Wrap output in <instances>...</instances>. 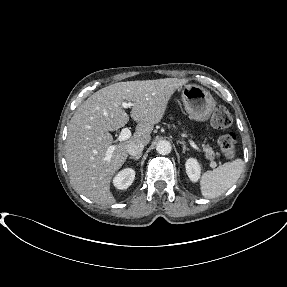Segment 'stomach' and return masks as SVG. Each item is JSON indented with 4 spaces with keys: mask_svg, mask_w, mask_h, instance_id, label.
Listing matches in <instances>:
<instances>
[{
    "mask_svg": "<svg viewBox=\"0 0 287 287\" xmlns=\"http://www.w3.org/2000/svg\"><path fill=\"white\" fill-rule=\"evenodd\" d=\"M181 94L185 110L192 119L204 122L210 118L215 100L208 90L197 84H188L182 88Z\"/></svg>",
    "mask_w": 287,
    "mask_h": 287,
    "instance_id": "stomach-1",
    "label": "stomach"
}]
</instances>
